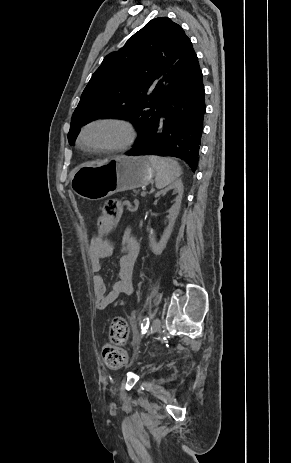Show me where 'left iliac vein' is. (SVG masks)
<instances>
[{"label": "left iliac vein", "mask_w": 291, "mask_h": 463, "mask_svg": "<svg viewBox=\"0 0 291 463\" xmlns=\"http://www.w3.org/2000/svg\"><path fill=\"white\" fill-rule=\"evenodd\" d=\"M161 329V321L159 318H155L152 322V325L150 327V331H149V334L150 335H153L157 332H159Z\"/></svg>", "instance_id": "left-iliac-vein-1"}]
</instances>
